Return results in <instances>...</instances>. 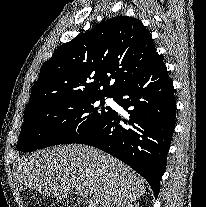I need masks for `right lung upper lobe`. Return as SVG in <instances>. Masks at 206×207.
<instances>
[{
	"mask_svg": "<svg viewBox=\"0 0 206 207\" xmlns=\"http://www.w3.org/2000/svg\"><path fill=\"white\" fill-rule=\"evenodd\" d=\"M158 56L150 32L138 19L103 21L55 50L41 68L25 111L51 101L114 96Z\"/></svg>",
	"mask_w": 206,
	"mask_h": 207,
	"instance_id": "1",
	"label": "right lung upper lobe"
}]
</instances>
